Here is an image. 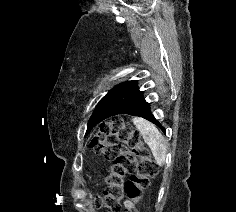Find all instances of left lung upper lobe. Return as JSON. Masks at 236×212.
<instances>
[{"instance_id": "5c2ea615", "label": "left lung upper lobe", "mask_w": 236, "mask_h": 212, "mask_svg": "<svg viewBox=\"0 0 236 212\" xmlns=\"http://www.w3.org/2000/svg\"><path fill=\"white\" fill-rule=\"evenodd\" d=\"M124 83H121L117 86H115L113 89H111L98 103L96 106V109L91 116L89 122L86 134L97 124L99 123V118L101 113L106 109V107L111 103V101L115 98V96L119 93Z\"/></svg>"}]
</instances>
